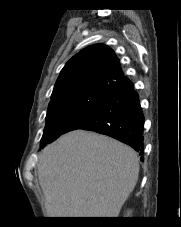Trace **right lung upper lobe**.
I'll use <instances>...</instances> for the list:
<instances>
[{"mask_svg":"<svg viewBox=\"0 0 181 227\" xmlns=\"http://www.w3.org/2000/svg\"><path fill=\"white\" fill-rule=\"evenodd\" d=\"M124 78L114 51L95 44L74 55L62 69L51 96V102L70 95L108 89Z\"/></svg>","mask_w":181,"mask_h":227,"instance_id":"obj_1","label":"right lung upper lobe"}]
</instances>
